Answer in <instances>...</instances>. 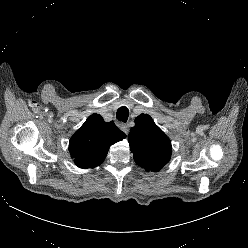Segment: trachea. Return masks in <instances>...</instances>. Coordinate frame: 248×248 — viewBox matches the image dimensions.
I'll use <instances>...</instances> for the list:
<instances>
[{"instance_id": "1", "label": "trachea", "mask_w": 248, "mask_h": 248, "mask_svg": "<svg viewBox=\"0 0 248 248\" xmlns=\"http://www.w3.org/2000/svg\"><path fill=\"white\" fill-rule=\"evenodd\" d=\"M129 116V110L126 107H120L117 111L116 117L119 121L126 123Z\"/></svg>"}]
</instances>
